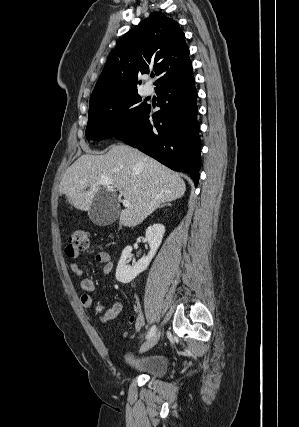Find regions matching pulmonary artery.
Returning <instances> with one entry per match:
<instances>
[{
    "label": "pulmonary artery",
    "mask_w": 299,
    "mask_h": 427,
    "mask_svg": "<svg viewBox=\"0 0 299 427\" xmlns=\"http://www.w3.org/2000/svg\"><path fill=\"white\" fill-rule=\"evenodd\" d=\"M152 92H153L152 87H150V86H146V87H145V93H146L147 95L152 94Z\"/></svg>",
    "instance_id": "obj_1"
}]
</instances>
